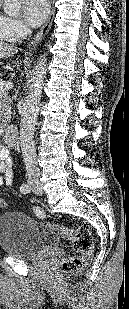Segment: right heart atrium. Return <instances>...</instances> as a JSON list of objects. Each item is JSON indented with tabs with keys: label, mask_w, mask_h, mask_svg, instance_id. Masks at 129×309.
Returning <instances> with one entry per match:
<instances>
[{
	"label": "right heart atrium",
	"mask_w": 129,
	"mask_h": 309,
	"mask_svg": "<svg viewBox=\"0 0 129 309\" xmlns=\"http://www.w3.org/2000/svg\"><path fill=\"white\" fill-rule=\"evenodd\" d=\"M7 31L14 41H18L28 34L29 29L21 19L7 17Z\"/></svg>",
	"instance_id": "d8ad5b80"
}]
</instances>
